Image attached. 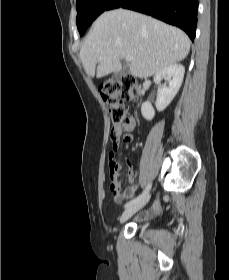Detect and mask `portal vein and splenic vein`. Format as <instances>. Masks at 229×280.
I'll list each match as a JSON object with an SVG mask.
<instances>
[{
    "mask_svg": "<svg viewBox=\"0 0 229 280\" xmlns=\"http://www.w3.org/2000/svg\"><path fill=\"white\" fill-rule=\"evenodd\" d=\"M125 60H126L127 62H131V61L133 60V57L130 56V55H128V56L125 57Z\"/></svg>",
    "mask_w": 229,
    "mask_h": 280,
    "instance_id": "1",
    "label": "portal vein and splenic vein"
}]
</instances>
